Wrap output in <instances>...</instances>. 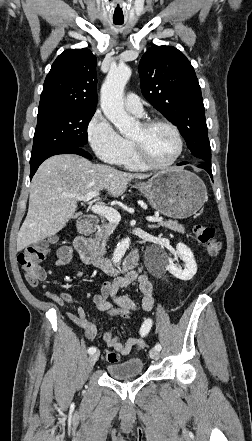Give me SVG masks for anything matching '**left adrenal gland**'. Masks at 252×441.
<instances>
[{
	"label": "left adrenal gland",
	"instance_id": "1",
	"mask_svg": "<svg viewBox=\"0 0 252 441\" xmlns=\"http://www.w3.org/2000/svg\"><path fill=\"white\" fill-rule=\"evenodd\" d=\"M148 228L154 229V228H157V226L156 225H148Z\"/></svg>",
	"mask_w": 252,
	"mask_h": 441
}]
</instances>
